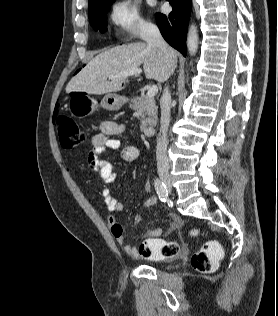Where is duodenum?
Segmentation results:
<instances>
[{"label": "duodenum", "mask_w": 278, "mask_h": 316, "mask_svg": "<svg viewBox=\"0 0 278 316\" xmlns=\"http://www.w3.org/2000/svg\"><path fill=\"white\" fill-rule=\"evenodd\" d=\"M155 133V128L152 126L146 127L144 129V134L147 136H152Z\"/></svg>", "instance_id": "410a0bca"}]
</instances>
